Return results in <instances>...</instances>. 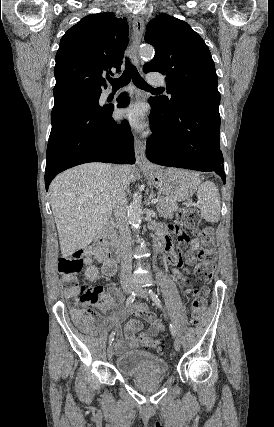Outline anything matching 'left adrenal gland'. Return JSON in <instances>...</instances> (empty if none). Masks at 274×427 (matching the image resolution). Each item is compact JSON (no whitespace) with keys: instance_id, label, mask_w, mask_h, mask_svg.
Listing matches in <instances>:
<instances>
[{"instance_id":"obj_1","label":"left adrenal gland","mask_w":274,"mask_h":427,"mask_svg":"<svg viewBox=\"0 0 274 427\" xmlns=\"http://www.w3.org/2000/svg\"><path fill=\"white\" fill-rule=\"evenodd\" d=\"M152 194H153V192H152ZM151 198H152V196H149L148 206H150V204H151V202H150Z\"/></svg>"}]
</instances>
